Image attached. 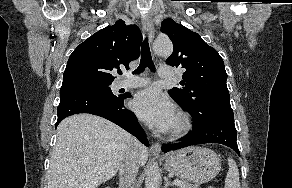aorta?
<instances>
[{
  "mask_svg": "<svg viewBox=\"0 0 292 188\" xmlns=\"http://www.w3.org/2000/svg\"><path fill=\"white\" fill-rule=\"evenodd\" d=\"M153 49L160 56H170L173 52V44L169 39H156ZM160 179V170L156 163L151 164L146 172V188H158Z\"/></svg>",
  "mask_w": 292,
  "mask_h": 188,
  "instance_id": "aorta-1",
  "label": "aorta"
}]
</instances>
